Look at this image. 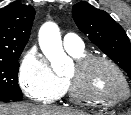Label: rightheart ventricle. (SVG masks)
<instances>
[{
    "mask_svg": "<svg viewBox=\"0 0 131 115\" xmlns=\"http://www.w3.org/2000/svg\"><path fill=\"white\" fill-rule=\"evenodd\" d=\"M69 53L77 60L86 56V53L84 50L80 51V52H69ZM65 89H66V85H65L64 91H65Z\"/></svg>",
    "mask_w": 131,
    "mask_h": 115,
    "instance_id": "1",
    "label": "right heart ventricle"
}]
</instances>
